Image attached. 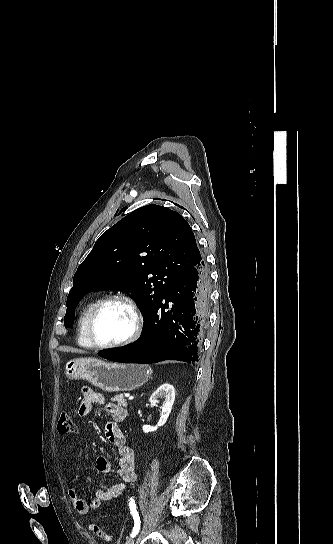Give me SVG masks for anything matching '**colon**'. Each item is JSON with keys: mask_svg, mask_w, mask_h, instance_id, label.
Returning <instances> with one entry per match:
<instances>
[{"mask_svg": "<svg viewBox=\"0 0 333 544\" xmlns=\"http://www.w3.org/2000/svg\"><path fill=\"white\" fill-rule=\"evenodd\" d=\"M57 429L60 434L73 433L76 429L73 418L68 413H63L58 420ZM89 529L98 538L102 540L109 539V534L107 530L99 524L92 523L89 525Z\"/></svg>", "mask_w": 333, "mask_h": 544, "instance_id": "obj_1", "label": "colon"}]
</instances>
